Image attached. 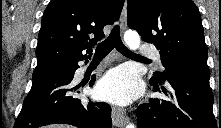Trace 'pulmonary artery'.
I'll return each instance as SVG.
<instances>
[{"mask_svg": "<svg viewBox=\"0 0 221 128\" xmlns=\"http://www.w3.org/2000/svg\"><path fill=\"white\" fill-rule=\"evenodd\" d=\"M138 55H140L141 59L149 60L150 58H155L158 60L159 63H161V57L155 48L151 47L147 49H141Z\"/></svg>", "mask_w": 221, "mask_h": 128, "instance_id": "1", "label": "pulmonary artery"}]
</instances>
